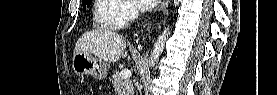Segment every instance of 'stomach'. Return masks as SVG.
<instances>
[{"label": "stomach", "instance_id": "0dacf381", "mask_svg": "<svg viewBox=\"0 0 277 95\" xmlns=\"http://www.w3.org/2000/svg\"><path fill=\"white\" fill-rule=\"evenodd\" d=\"M72 69L79 76H92L104 79L107 76V64L90 53L79 52L73 56Z\"/></svg>", "mask_w": 277, "mask_h": 95}]
</instances>
